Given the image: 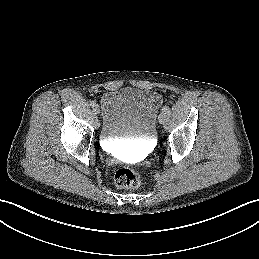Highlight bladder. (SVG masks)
<instances>
[{
    "instance_id": "1",
    "label": "bladder",
    "mask_w": 259,
    "mask_h": 259,
    "mask_svg": "<svg viewBox=\"0 0 259 259\" xmlns=\"http://www.w3.org/2000/svg\"><path fill=\"white\" fill-rule=\"evenodd\" d=\"M161 102L159 93L151 89L126 87L107 92L102 98L101 138L109 143L151 142Z\"/></svg>"
}]
</instances>
